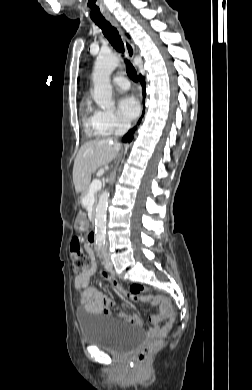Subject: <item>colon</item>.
Returning a JSON list of instances; mask_svg holds the SVG:
<instances>
[{
	"label": "colon",
	"instance_id": "1",
	"mask_svg": "<svg viewBox=\"0 0 252 390\" xmlns=\"http://www.w3.org/2000/svg\"><path fill=\"white\" fill-rule=\"evenodd\" d=\"M70 252L75 273H82L89 269L92 265V253L88 247L83 246L81 240L77 237L73 238L70 243ZM113 287L124 290L128 295H137L142 293L145 288L140 284H132L129 290L126 291L123 287L118 286L116 282L111 284ZM161 347L160 341H154L146 344L138 354L140 363H147L152 355Z\"/></svg>",
	"mask_w": 252,
	"mask_h": 390
}]
</instances>
